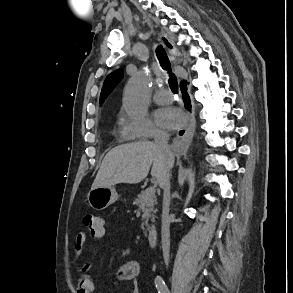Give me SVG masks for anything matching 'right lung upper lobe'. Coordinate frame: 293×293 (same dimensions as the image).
<instances>
[{
    "label": "right lung upper lobe",
    "mask_w": 293,
    "mask_h": 293,
    "mask_svg": "<svg viewBox=\"0 0 293 293\" xmlns=\"http://www.w3.org/2000/svg\"><path fill=\"white\" fill-rule=\"evenodd\" d=\"M165 44L168 47H171V45L168 43L167 40H165ZM122 76H123V72L121 69L115 70L114 72H112L111 74L107 76L101 91L100 103H103L104 99L110 94L114 86L122 79Z\"/></svg>",
    "instance_id": "obj_1"
}]
</instances>
